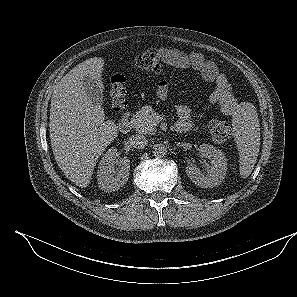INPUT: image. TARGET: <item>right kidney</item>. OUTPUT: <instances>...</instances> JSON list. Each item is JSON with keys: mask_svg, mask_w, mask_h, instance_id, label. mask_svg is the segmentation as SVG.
<instances>
[{"mask_svg": "<svg viewBox=\"0 0 297 297\" xmlns=\"http://www.w3.org/2000/svg\"><path fill=\"white\" fill-rule=\"evenodd\" d=\"M119 170H115L116 166ZM130 160L126 157L117 159V149L110 148L102 157L97 177L99 188L105 192H113L124 186L129 177Z\"/></svg>", "mask_w": 297, "mask_h": 297, "instance_id": "obj_1", "label": "right kidney"}]
</instances>
